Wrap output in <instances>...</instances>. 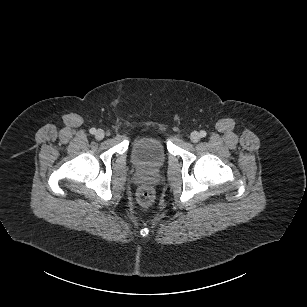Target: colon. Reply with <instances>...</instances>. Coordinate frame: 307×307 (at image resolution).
<instances>
[{
  "label": "colon",
  "mask_w": 307,
  "mask_h": 307,
  "mask_svg": "<svg viewBox=\"0 0 307 307\" xmlns=\"http://www.w3.org/2000/svg\"><path fill=\"white\" fill-rule=\"evenodd\" d=\"M138 201L144 207H150L155 202V194L153 190L149 187H143L138 192Z\"/></svg>",
  "instance_id": "5ec220e1"
}]
</instances>
